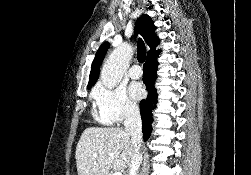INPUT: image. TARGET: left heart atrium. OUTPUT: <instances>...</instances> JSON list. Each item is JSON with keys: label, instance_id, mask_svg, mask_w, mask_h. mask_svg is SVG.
I'll return each instance as SVG.
<instances>
[{"label": "left heart atrium", "instance_id": "obj_1", "mask_svg": "<svg viewBox=\"0 0 251 175\" xmlns=\"http://www.w3.org/2000/svg\"><path fill=\"white\" fill-rule=\"evenodd\" d=\"M129 92H130V95L135 99L142 97L144 94V90H143L142 86L137 82H132L130 84Z\"/></svg>", "mask_w": 251, "mask_h": 175}]
</instances>
